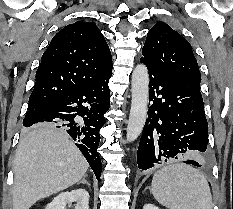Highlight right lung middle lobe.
Segmentation results:
<instances>
[{
	"instance_id": "obj_1",
	"label": "right lung middle lobe",
	"mask_w": 233,
	"mask_h": 209,
	"mask_svg": "<svg viewBox=\"0 0 233 209\" xmlns=\"http://www.w3.org/2000/svg\"><path fill=\"white\" fill-rule=\"evenodd\" d=\"M39 106H41V105L29 103L28 111H27L26 115L29 114V113H31L33 110H35V109L38 108ZM40 125L55 127V124H53V123H43V124H39V125H37V126H40Z\"/></svg>"
}]
</instances>
